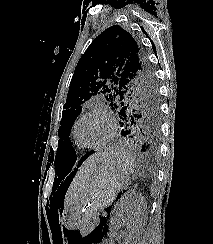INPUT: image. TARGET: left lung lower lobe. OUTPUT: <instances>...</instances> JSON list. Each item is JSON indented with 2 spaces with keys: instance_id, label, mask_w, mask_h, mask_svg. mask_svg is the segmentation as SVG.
<instances>
[{
  "instance_id": "left-lung-lower-lobe-1",
  "label": "left lung lower lobe",
  "mask_w": 213,
  "mask_h": 244,
  "mask_svg": "<svg viewBox=\"0 0 213 244\" xmlns=\"http://www.w3.org/2000/svg\"><path fill=\"white\" fill-rule=\"evenodd\" d=\"M121 120L123 121V129L121 130L122 137L128 139L134 148L148 156L155 157L158 153L159 128H153L152 126L144 127L127 118H121ZM92 153L93 152L86 153L78 162L77 167H79ZM75 162L76 160L73 162L70 169L74 166ZM74 171H76V168ZM71 174L73 175L74 172Z\"/></svg>"
}]
</instances>
